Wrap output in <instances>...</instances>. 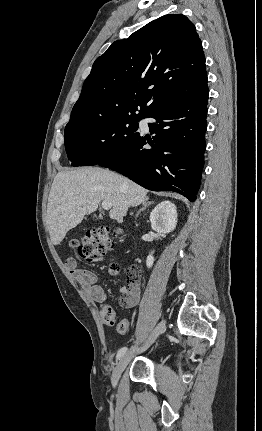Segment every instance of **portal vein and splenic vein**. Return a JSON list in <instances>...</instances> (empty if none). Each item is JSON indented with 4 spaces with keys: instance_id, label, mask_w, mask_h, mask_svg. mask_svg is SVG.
I'll return each mask as SVG.
<instances>
[{
    "instance_id": "portal-vein-and-splenic-vein-1",
    "label": "portal vein and splenic vein",
    "mask_w": 262,
    "mask_h": 431,
    "mask_svg": "<svg viewBox=\"0 0 262 431\" xmlns=\"http://www.w3.org/2000/svg\"><path fill=\"white\" fill-rule=\"evenodd\" d=\"M111 207H112L111 202H109V201H103V202H102V208H103L104 210H109V209H111Z\"/></svg>"
}]
</instances>
